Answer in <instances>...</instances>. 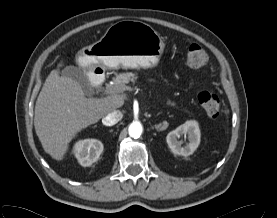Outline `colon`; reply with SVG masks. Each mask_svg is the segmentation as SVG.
Segmentation results:
<instances>
[{
    "instance_id": "colon-1",
    "label": "colon",
    "mask_w": 277,
    "mask_h": 218,
    "mask_svg": "<svg viewBox=\"0 0 277 218\" xmlns=\"http://www.w3.org/2000/svg\"><path fill=\"white\" fill-rule=\"evenodd\" d=\"M208 61L206 51L199 45L193 44L187 52V63L191 68H200ZM198 100L205 112L212 118L220 114L221 101L217 94L211 91H203L198 95Z\"/></svg>"
}]
</instances>
